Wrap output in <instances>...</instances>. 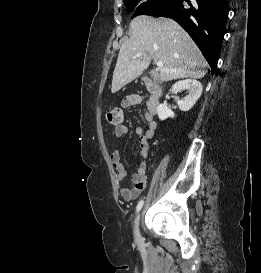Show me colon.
I'll list each match as a JSON object with an SVG mask.
<instances>
[{"label": "colon", "instance_id": "obj_1", "mask_svg": "<svg viewBox=\"0 0 261 273\" xmlns=\"http://www.w3.org/2000/svg\"><path fill=\"white\" fill-rule=\"evenodd\" d=\"M107 121L112 125H120L123 121V112L120 108H113L107 113Z\"/></svg>", "mask_w": 261, "mask_h": 273}]
</instances>
